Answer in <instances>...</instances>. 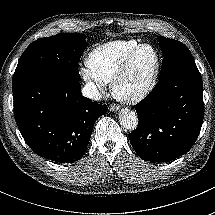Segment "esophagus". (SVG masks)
I'll return each mask as SVG.
<instances>
[{
    "label": "esophagus",
    "mask_w": 215,
    "mask_h": 215,
    "mask_svg": "<svg viewBox=\"0 0 215 215\" xmlns=\"http://www.w3.org/2000/svg\"><path fill=\"white\" fill-rule=\"evenodd\" d=\"M109 110H110V111H118V110H119V107H118V106H115V105H111V106L109 107Z\"/></svg>",
    "instance_id": "34e87169"
}]
</instances>
